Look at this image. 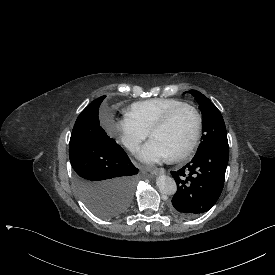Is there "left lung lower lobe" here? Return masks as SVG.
Here are the masks:
<instances>
[{
	"instance_id": "1",
	"label": "left lung lower lobe",
	"mask_w": 275,
	"mask_h": 275,
	"mask_svg": "<svg viewBox=\"0 0 275 275\" xmlns=\"http://www.w3.org/2000/svg\"><path fill=\"white\" fill-rule=\"evenodd\" d=\"M228 158V146H213L196 154L182 169L172 171L177 192L171 212L194 217L211 209L221 195Z\"/></svg>"
}]
</instances>
